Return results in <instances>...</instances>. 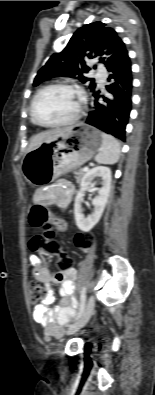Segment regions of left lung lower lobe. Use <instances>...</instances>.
I'll return each instance as SVG.
<instances>
[{"label":"left lung lower lobe","mask_w":155,"mask_h":395,"mask_svg":"<svg viewBox=\"0 0 155 395\" xmlns=\"http://www.w3.org/2000/svg\"><path fill=\"white\" fill-rule=\"evenodd\" d=\"M110 75L106 86L111 98L94 91V106L86 123L125 141V128L128 124L132 104V70L129 56H125L116 66L108 70ZM106 102L102 105L98 99Z\"/></svg>","instance_id":"0a47b994"}]
</instances>
